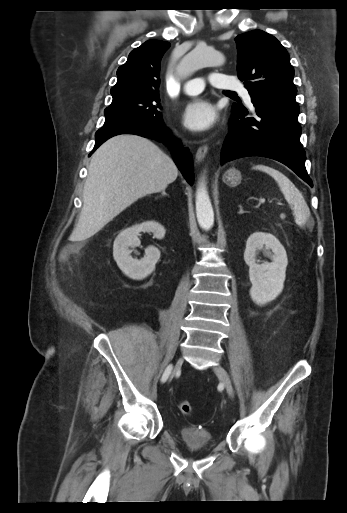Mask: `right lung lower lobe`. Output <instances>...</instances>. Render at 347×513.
<instances>
[{"mask_svg":"<svg viewBox=\"0 0 347 513\" xmlns=\"http://www.w3.org/2000/svg\"><path fill=\"white\" fill-rule=\"evenodd\" d=\"M118 134H136L167 143L172 149L174 161L181 173L188 183L193 184L194 175L190 153L181 143H173L170 131L164 127L163 121L151 123L141 119H123L106 123L96 132V142L92 153L107 139Z\"/></svg>","mask_w":347,"mask_h":513,"instance_id":"98d812e1","label":"right lung lower lobe"}]
</instances>
